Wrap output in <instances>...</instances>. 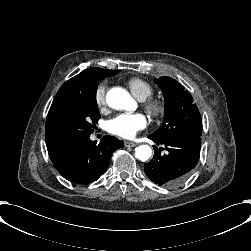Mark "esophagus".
I'll return each instance as SVG.
<instances>
[{
  "label": "esophagus",
  "mask_w": 251,
  "mask_h": 251,
  "mask_svg": "<svg viewBox=\"0 0 251 251\" xmlns=\"http://www.w3.org/2000/svg\"><path fill=\"white\" fill-rule=\"evenodd\" d=\"M124 144H125L126 147H135V146H137V143L129 142V141H125Z\"/></svg>",
  "instance_id": "1"
}]
</instances>
